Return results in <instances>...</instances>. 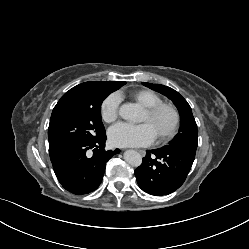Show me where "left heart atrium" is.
Masks as SVG:
<instances>
[{
    "label": "left heart atrium",
    "mask_w": 249,
    "mask_h": 249,
    "mask_svg": "<svg viewBox=\"0 0 249 249\" xmlns=\"http://www.w3.org/2000/svg\"><path fill=\"white\" fill-rule=\"evenodd\" d=\"M155 138V131L148 122L138 125L118 123L109 130V141L117 147L147 146Z\"/></svg>",
    "instance_id": "left-heart-atrium-1"
}]
</instances>
